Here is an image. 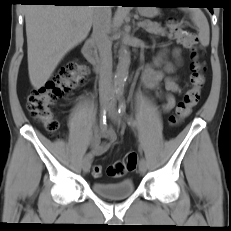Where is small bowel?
I'll use <instances>...</instances> for the list:
<instances>
[{
	"mask_svg": "<svg viewBox=\"0 0 231 231\" xmlns=\"http://www.w3.org/2000/svg\"><path fill=\"white\" fill-rule=\"evenodd\" d=\"M173 55L175 58H178L179 50L175 49ZM165 56L166 51L163 50L156 58L155 65L144 71L142 84L147 90L155 93V95L163 101L162 110L168 113L175 107V94L180 92V87L174 77L167 76L165 71L160 69ZM168 70H170V68ZM116 139L117 134L111 127L106 128L104 131H95L89 141L93 155L99 156L107 152L115 143Z\"/></svg>",
	"mask_w": 231,
	"mask_h": 231,
	"instance_id": "obj_1",
	"label": "small bowel"
}]
</instances>
